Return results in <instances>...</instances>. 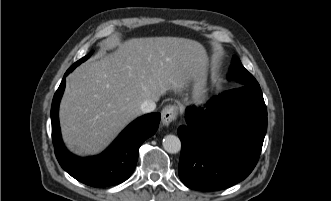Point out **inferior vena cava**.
I'll return each instance as SVG.
<instances>
[{
  "mask_svg": "<svg viewBox=\"0 0 331 201\" xmlns=\"http://www.w3.org/2000/svg\"><path fill=\"white\" fill-rule=\"evenodd\" d=\"M155 108H156V104L151 99L144 100L140 106V109L143 113H150V112L154 111Z\"/></svg>",
  "mask_w": 331,
  "mask_h": 201,
  "instance_id": "inferior-vena-cava-1",
  "label": "inferior vena cava"
}]
</instances>
